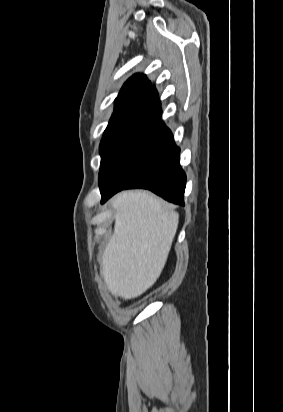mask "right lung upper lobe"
I'll use <instances>...</instances> for the list:
<instances>
[{
  "instance_id": "obj_1",
  "label": "right lung upper lobe",
  "mask_w": 283,
  "mask_h": 412,
  "mask_svg": "<svg viewBox=\"0 0 283 412\" xmlns=\"http://www.w3.org/2000/svg\"><path fill=\"white\" fill-rule=\"evenodd\" d=\"M161 114L158 93L145 76L139 74L129 78L115 99V109L111 118L123 115Z\"/></svg>"
}]
</instances>
